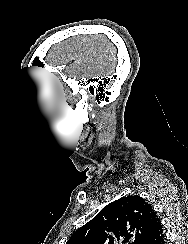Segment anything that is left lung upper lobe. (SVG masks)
Instances as JSON below:
<instances>
[{"instance_id": "left-lung-upper-lobe-1", "label": "left lung upper lobe", "mask_w": 188, "mask_h": 244, "mask_svg": "<svg viewBox=\"0 0 188 244\" xmlns=\"http://www.w3.org/2000/svg\"><path fill=\"white\" fill-rule=\"evenodd\" d=\"M158 216L140 196L122 197L104 207L66 244H147Z\"/></svg>"}]
</instances>
